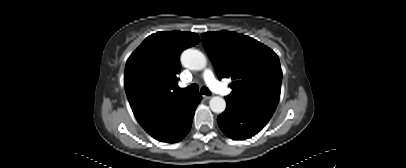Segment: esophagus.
<instances>
[{"mask_svg":"<svg viewBox=\"0 0 406 168\" xmlns=\"http://www.w3.org/2000/svg\"><path fill=\"white\" fill-rule=\"evenodd\" d=\"M203 98H204V99H210L211 96H210V95H203Z\"/></svg>","mask_w":406,"mask_h":168,"instance_id":"34e87169","label":"esophagus"}]
</instances>
